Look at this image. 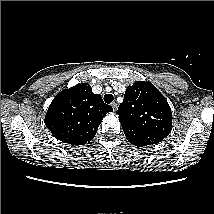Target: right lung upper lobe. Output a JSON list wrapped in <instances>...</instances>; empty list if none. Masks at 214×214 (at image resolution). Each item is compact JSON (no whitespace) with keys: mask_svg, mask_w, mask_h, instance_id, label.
<instances>
[{"mask_svg":"<svg viewBox=\"0 0 214 214\" xmlns=\"http://www.w3.org/2000/svg\"><path fill=\"white\" fill-rule=\"evenodd\" d=\"M113 111L88 83H80L58 93L45 116L53 136L67 144L83 145L95 136L101 120Z\"/></svg>","mask_w":214,"mask_h":214,"instance_id":"obj_1","label":"right lung upper lobe"}]
</instances>
